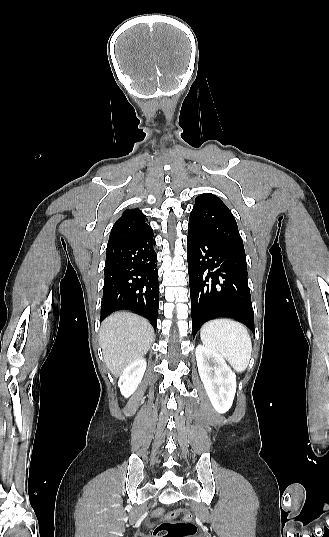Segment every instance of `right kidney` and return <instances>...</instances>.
I'll use <instances>...</instances> for the list:
<instances>
[{
	"label": "right kidney",
	"instance_id": "right-kidney-1",
	"mask_svg": "<svg viewBox=\"0 0 329 537\" xmlns=\"http://www.w3.org/2000/svg\"><path fill=\"white\" fill-rule=\"evenodd\" d=\"M146 370V361L141 358L128 365L119 378L118 386L124 397L132 395L140 384Z\"/></svg>",
	"mask_w": 329,
	"mask_h": 537
}]
</instances>
